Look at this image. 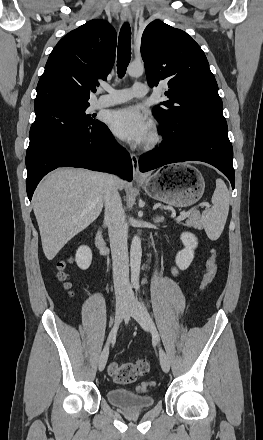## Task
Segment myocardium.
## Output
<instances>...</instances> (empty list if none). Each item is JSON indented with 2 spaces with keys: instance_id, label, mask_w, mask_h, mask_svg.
<instances>
[{
  "instance_id": "1",
  "label": "myocardium",
  "mask_w": 263,
  "mask_h": 440,
  "mask_svg": "<svg viewBox=\"0 0 263 440\" xmlns=\"http://www.w3.org/2000/svg\"><path fill=\"white\" fill-rule=\"evenodd\" d=\"M162 141V135L157 127L153 126L148 137L143 141L142 147L145 150L156 148Z\"/></svg>"
}]
</instances>
